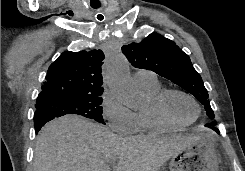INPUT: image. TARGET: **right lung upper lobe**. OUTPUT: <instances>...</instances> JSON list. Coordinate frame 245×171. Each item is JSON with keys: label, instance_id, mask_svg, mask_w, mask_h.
<instances>
[{"label": "right lung upper lobe", "instance_id": "cb5924a9", "mask_svg": "<svg viewBox=\"0 0 245 171\" xmlns=\"http://www.w3.org/2000/svg\"><path fill=\"white\" fill-rule=\"evenodd\" d=\"M101 50L63 52L47 72L36 105L51 97L96 96L104 91Z\"/></svg>", "mask_w": 245, "mask_h": 171}]
</instances>
